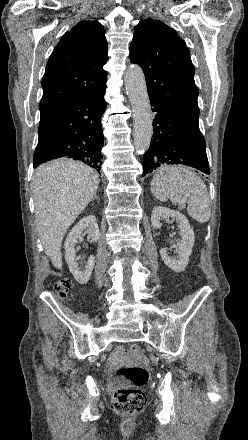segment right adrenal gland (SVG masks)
<instances>
[{"instance_id":"2a0ac1e0","label":"right adrenal gland","mask_w":248,"mask_h":440,"mask_svg":"<svg viewBox=\"0 0 248 440\" xmlns=\"http://www.w3.org/2000/svg\"><path fill=\"white\" fill-rule=\"evenodd\" d=\"M98 197L97 196H94V198L93 199H97Z\"/></svg>"}]
</instances>
